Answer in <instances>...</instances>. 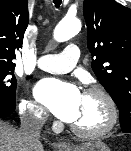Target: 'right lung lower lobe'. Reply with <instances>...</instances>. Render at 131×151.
Masks as SVG:
<instances>
[{
  "instance_id": "1",
  "label": "right lung lower lobe",
  "mask_w": 131,
  "mask_h": 151,
  "mask_svg": "<svg viewBox=\"0 0 131 151\" xmlns=\"http://www.w3.org/2000/svg\"><path fill=\"white\" fill-rule=\"evenodd\" d=\"M15 103H7L0 101V117L4 118L9 116L15 110Z\"/></svg>"
}]
</instances>
